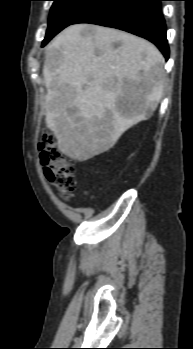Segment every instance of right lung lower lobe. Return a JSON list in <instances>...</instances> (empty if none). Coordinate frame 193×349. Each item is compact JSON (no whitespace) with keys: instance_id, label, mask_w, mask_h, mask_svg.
I'll list each match as a JSON object with an SVG mask.
<instances>
[{"instance_id":"1","label":"right lung lower lobe","mask_w":193,"mask_h":349,"mask_svg":"<svg viewBox=\"0 0 193 349\" xmlns=\"http://www.w3.org/2000/svg\"><path fill=\"white\" fill-rule=\"evenodd\" d=\"M161 1L99 0L72 24L92 23L130 32L154 43L168 59L169 48Z\"/></svg>"}]
</instances>
